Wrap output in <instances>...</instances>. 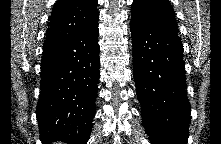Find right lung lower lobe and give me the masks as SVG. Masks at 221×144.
Wrapping results in <instances>:
<instances>
[{"mask_svg": "<svg viewBox=\"0 0 221 144\" xmlns=\"http://www.w3.org/2000/svg\"><path fill=\"white\" fill-rule=\"evenodd\" d=\"M98 25L43 49L36 109L40 139L86 144L95 115L100 77Z\"/></svg>", "mask_w": 221, "mask_h": 144, "instance_id": "1", "label": "right lung lower lobe"}]
</instances>
